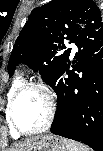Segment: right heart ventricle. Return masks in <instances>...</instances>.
I'll return each mask as SVG.
<instances>
[{"label": "right heart ventricle", "instance_id": "e07e8e85", "mask_svg": "<svg viewBox=\"0 0 103 151\" xmlns=\"http://www.w3.org/2000/svg\"><path fill=\"white\" fill-rule=\"evenodd\" d=\"M23 84H24L23 79H22V76L20 75L14 80L13 84L11 85V87L7 93V98H6L5 116H6V120H7L8 124H9L10 134L15 139L19 138L20 134L12 127V125L9 121L8 106H9V102H10L13 94L15 93V91Z\"/></svg>", "mask_w": 103, "mask_h": 151}]
</instances>
